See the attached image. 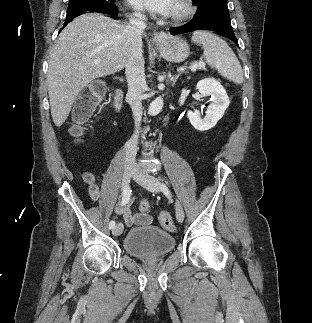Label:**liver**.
I'll list each match as a JSON object with an SVG mask.
<instances>
[{"label":"liver","mask_w":312,"mask_h":323,"mask_svg":"<svg viewBox=\"0 0 312 323\" xmlns=\"http://www.w3.org/2000/svg\"><path fill=\"white\" fill-rule=\"evenodd\" d=\"M118 20L105 14H82L67 24L50 52L47 86L57 128L67 120L83 88L96 78L126 66L130 40ZM94 62H100L95 66Z\"/></svg>","instance_id":"1"}]
</instances>
